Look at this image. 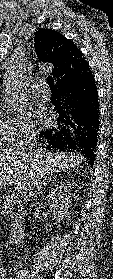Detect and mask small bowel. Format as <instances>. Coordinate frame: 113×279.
<instances>
[{"mask_svg": "<svg viewBox=\"0 0 113 279\" xmlns=\"http://www.w3.org/2000/svg\"><path fill=\"white\" fill-rule=\"evenodd\" d=\"M6 270L4 268H1V275H0V279H7L6 277Z\"/></svg>", "mask_w": 113, "mask_h": 279, "instance_id": "obj_1", "label": "small bowel"}]
</instances>
